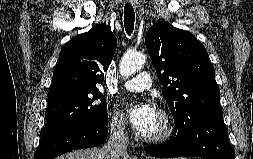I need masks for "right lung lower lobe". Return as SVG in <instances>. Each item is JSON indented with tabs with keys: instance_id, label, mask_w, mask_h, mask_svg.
<instances>
[{
	"instance_id": "1",
	"label": "right lung lower lobe",
	"mask_w": 253,
	"mask_h": 159,
	"mask_svg": "<svg viewBox=\"0 0 253 159\" xmlns=\"http://www.w3.org/2000/svg\"><path fill=\"white\" fill-rule=\"evenodd\" d=\"M106 125L81 123L65 128L40 141L34 159H54L74 149L98 146L107 138Z\"/></svg>"
}]
</instances>
